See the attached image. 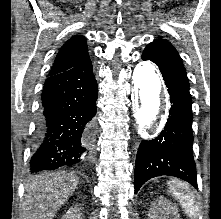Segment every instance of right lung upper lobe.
<instances>
[{"label":"right lung upper lobe","instance_id":"cb5924a9","mask_svg":"<svg viewBox=\"0 0 221 219\" xmlns=\"http://www.w3.org/2000/svg\"><path fill=\"white\" fill-rule=\"evenodd\" d=\"M88 57V48L85 38L79 35L74 36L59 50L49 75L53 76L67 71Z\"/></svg>","mask_w":221,"mask_h":219}]
</instances>
